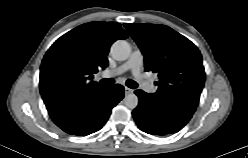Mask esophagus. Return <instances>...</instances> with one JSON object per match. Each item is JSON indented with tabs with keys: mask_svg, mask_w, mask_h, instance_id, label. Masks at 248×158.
I'll use <instances>...</instances> for the list:
<instances>
[{
	"mask_svg": "<svg viewBox=\"0 0 248 158\" xmlns=\"http://www.w3.org/2000/svg\"><path fill=\"white\" fill-rule=\"evenodd\" d=\"M124 90H125V94H126V95H127V94H131V93L133 92V90L130 89V88H128V87H125Z\"/></svg>",
	"mask_w": 248,
	"mask_h": 158,
	"instance_id": "obj_1",
	"label": "esophagus"
}]
</instances>
